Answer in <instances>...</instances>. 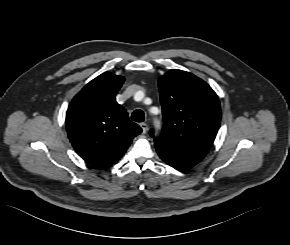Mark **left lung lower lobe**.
<instances>
[{
    "instance_id": "left-lung-lower-lobe-1",
    "label": "left lung lower lobe",
    "mask_w": 290,
    "mask_h": 245,
    "mask_svg": "<svg viewBox=\"0 0 290 245\" xmlns=\"http://www.w3.org/2000/svg\"><path fill=\"white\" fill-rule=\"evenodd\" d=\"M156 150L158 155L161 157L163 161H165L170 166L178 169V170H186L194 166L196 163L184 160L180 157H177L159 146H156Z\"/></svg>"
}]
</instances>
